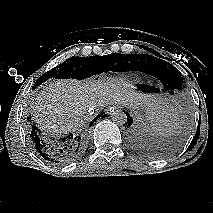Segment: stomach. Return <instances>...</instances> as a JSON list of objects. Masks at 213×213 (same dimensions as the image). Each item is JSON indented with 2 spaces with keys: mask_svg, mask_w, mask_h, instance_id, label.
Returning <instances> with one entry per match:
<instances>
[{
  "mask_svg": "<svg viewBox=\"0 0 213 213\" xmlns=\"http://www.w3.org/2000/svg\"><path fill=\"white\" fill-rule=\"evenodd\" d=\"M133 111L140 122L144 124H151L154 122L155 117L160 112V109H157L153 104H139L133 107Z\"/></svg>",
  "mask_w": 213,
  "mask_h": 213,
  "instance_id": "0dacf381",
  "label": "stomach"
}]
</instances>
